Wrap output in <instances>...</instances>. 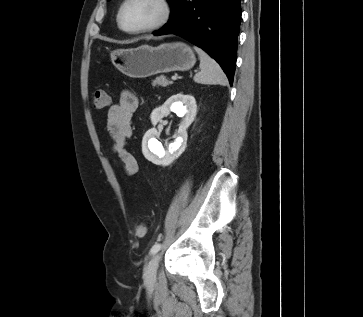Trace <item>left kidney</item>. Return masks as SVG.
Returning <instances> with one entry per match:
<instances>
[{
	"label": "left kidney",
	"instance_id": "5707ae66",
	"mask_svg": "<svg viewBox=\"0 0 363 317\" xmlns=\"http://www.w3.org/2000/svg\"><path fill=\"white\" fill-rule=\"evenodd\" d=\"M170 111L176 113L179 117H183V119L179 124L177 138L169 145L166 143V151L156 139L159 132L155 128L148 130L143 137V155L156 165L167 166L185 151L188 138L187 129L194 121L197 113L195 98L192 95H184L183 93L171 96L162 106L153 110L150 116L152 124L156 125L163 117L168 116Z\"/></svg>",
	"mask_w": 363,
	"mask_h": 317
}]
</instances>
